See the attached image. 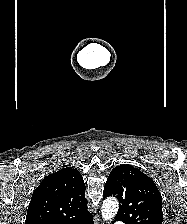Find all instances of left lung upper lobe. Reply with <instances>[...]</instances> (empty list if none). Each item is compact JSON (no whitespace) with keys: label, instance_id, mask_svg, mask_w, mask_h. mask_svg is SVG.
<instances>
[{"label":"left lung upper lobe","instance_id":"obj_1","mask_svg":"<svg viewBox=\"0 0 187 224\" xmlns=\"http://www.w3.org/2000/svg\"><path fill=\"white\" fill-rule=\"evenodd\" d=\"M119 202L116 220L125 224H162V200L154 181L131 165L112 169L104 187V198Z\"/></svg>","mask_w":187,"mask_h":224}]
</instances>
